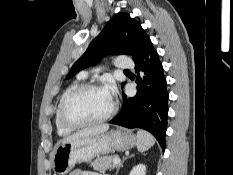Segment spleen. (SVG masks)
<instances>
[{"label":"spleen","instance_id":"spleen-1","mask_svg":"<svg viewBox=\"0 0 233 175\" xmlns=\"http://www.w3.org/2000/svg\"><path fill=\"white\" fill-rule=\"evenodd\" d=\"M154 144L155 139L149 132L142 129L138 130L136 143L138 151L145 152Z\"/></svg>","mask_w":233,"mask_h":175}]
</instances>
